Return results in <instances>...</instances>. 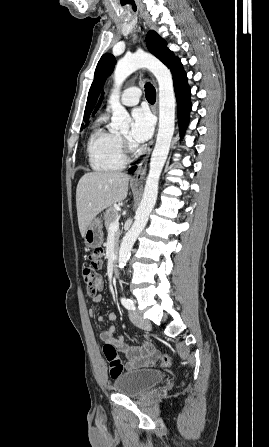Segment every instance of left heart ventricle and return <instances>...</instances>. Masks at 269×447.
<instances>
[{
  "label": "left heart ventricle",
  "mask_w": 269,
  "mask_h": 447,
  "mask_svg": "<svg viewBox=\"0 0 269 447\" xmlns=\"http://www.w3.org/2000/svg\"><path fill=\"white\" fill-rule=\"evenodd\" d=\"M122 135H123V137H125V138H129V132L123 133Z\"/></svg>",
  "instance_id": "1"
}]
</instances>
